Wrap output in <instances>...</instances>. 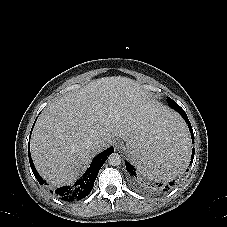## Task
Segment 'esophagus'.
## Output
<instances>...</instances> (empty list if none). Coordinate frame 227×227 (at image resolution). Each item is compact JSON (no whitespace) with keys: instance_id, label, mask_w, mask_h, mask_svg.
I'll list each match as a JSON object with an SVG mask.
<instances>
[{"instance_id":"34e87169","label":"esophagus","mask_w":227,"mask_h":227,"mask_svg":"<svg viewBox=\"0 0 227 227\" xmlns=\"http://www.w3.org/2000/svg\"><path fill=\"white\" fill-rule=\"evenodd\" d=\"M120 148H121V145H120L119 143H116V144H115V149H116V150H119Z\"/></svg>"}]
</instances>
